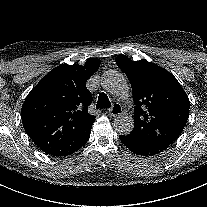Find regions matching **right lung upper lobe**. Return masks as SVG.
<instances>
[{"label": "right lung upper lobe", "instance_id": "cb5924a9", "mask_svg": "<svg viewBox=\"0 0 207 207\" xmlns=\"http://www.w3.org/2000/svg\"><path fill=\"white\" fill-rule=\"evenodd\" d=\"M101 61L88 59L84 66L62 64L52 69L27 95L21 118L25 131L45 153L65 156L89 138L95 116L88 113L92 95L87 79Z\"/></svg>", "mask_w": 207, "mask_h": 207}]
</instances>
